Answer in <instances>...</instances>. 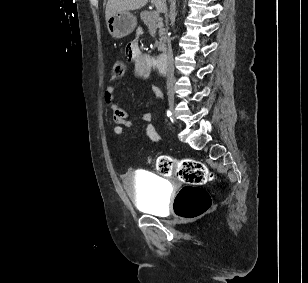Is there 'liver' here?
Masks as SVG:
<instances>
[{"instance_id":"liver-1","label":"liver","mask_w":308,"mask_h":283,"mask_svg":"<svg viewBox=\"0 0 308 283\" xmlns=\"http://www.w3.org/2000/svg\"><path fill=\"white\" fill-rule=\"evenodd\" d=\"M149 0H108L105 10L106 20L118 12L137 10L144 7ZM161 11L166 6V0H151Z\"/></svg>"}]
</instances>
